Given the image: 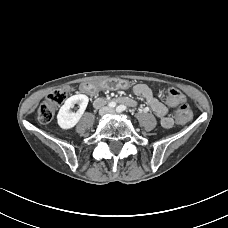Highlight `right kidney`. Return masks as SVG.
Segmentation results:
<instances>
[{
    "label": "right kidney",
    "mask_w": 228,
    "mask_h": 228,
    "mask_svg": "<svg viewBox=\"0 0 228 228\" xmlns=\"http://www.w3.org/2000/svg\"><path fill=\"white\" fill-rule=\"evenodd\" d=\"M88 102L89 98L84 94H77L69 97L61 106L57 115V123L60 128L64 130L73 128L82 117ZM75 104L79 105V110L77 112H72L70 109L73 108Z\"/></svg>",
    "instance_id": "obj_1"
}]
</instances>
